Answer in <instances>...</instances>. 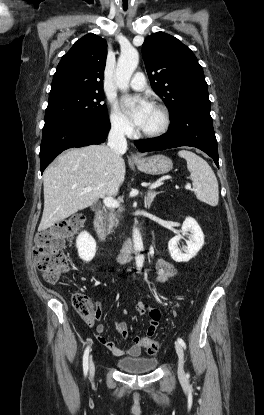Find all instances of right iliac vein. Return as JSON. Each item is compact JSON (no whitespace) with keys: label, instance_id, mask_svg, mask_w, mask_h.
Here are the masks:
<instances>
[{"label":"right iliac vein","instance_id":"right-iliac-vein-1","mask_svg":"<svg viewBox=\"0 0 264 415\" xmlns=\"http://www.w3.org/2000/svg\"><path fill=\"white\" fill-rule=\"evenodd\" d=\"M94 372H95V364H94V362L91 358L90 359V375H91V377L94 375Z\"/></svg>","mask_w":264,"mask_h":415}]
</instances>
